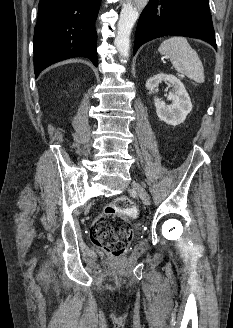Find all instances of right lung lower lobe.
<instances>
[{"mask_svg":"<svg viewBox=\"0 0 233 328\" xmlns=\"http://www.w3.org/2000/svg\"><path fill=\"white\" fill-rule=\"evenodd\" d=\"M101 0H40L34 32L35 78L46 67L87 57L97 67L95 21Z\"/></svg>","mask_w":233,"mask_h":328,"instance_id":"98d812e1","label":"right lung lower lobe"}]
</instances>
